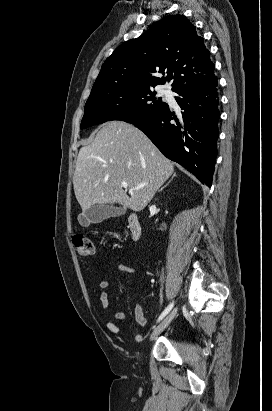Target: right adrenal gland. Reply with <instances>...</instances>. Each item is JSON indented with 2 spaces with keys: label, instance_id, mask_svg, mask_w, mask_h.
<instances>
[{
  "label": "right adrenal gland",
  "instance_id": "1",
  "mask_svg": "<svg viewBox=\"0 0 272 411\" xmlns=\"http://www.w3.org/2000/svg\"><path fill=\"white\" fill-rule=\"evenodd\" d=\"M175 176L176 174L174 173L171 179L159 191L163 190V188H165Z\"/></svg>",
  "mask_w": 272,
  "mask_h": 411
}]
</instances>
